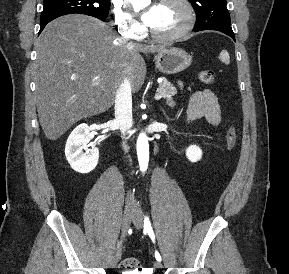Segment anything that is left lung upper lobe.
<instances>
[{
	"instance_id": "obj_1",
	"label": "left lung upper lobe",
	"mask_w": 289,
	"mask_h": 274,
	"mask_svg": "<svg viewBox=\"0 0 289 274\" xmlns=\"http://www.w3.org/2000/svg\"><path fill=\"white\" fill-rule=\"evenodd\" d=\"M196 11L194 31L232 30L226 0H189Z\"/></svg>"
}]
</instances>
